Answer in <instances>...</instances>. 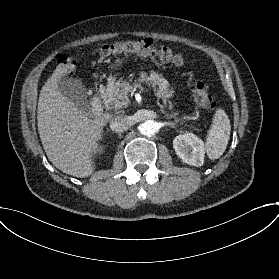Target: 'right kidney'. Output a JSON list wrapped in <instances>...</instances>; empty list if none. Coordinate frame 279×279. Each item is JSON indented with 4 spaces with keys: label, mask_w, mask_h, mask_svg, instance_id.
I'll use <instances>...</instances> for the list:
<instances>
[{
    "label": "right kidney",
    "mask_w": 279,
    "mask_h": 279,
    "mask_svg": "<svg viewBox=\"0 0 279 279\" xmlns=\"http://www.w3.org/2000/svg\"><path fill=\"white\" fill-rule=\"evenodd\" d=\"M102 150H103V147H102V146L97 145V146H96V148L94 149V154H96V153H101V152H102Z\"/></svg>",
    "instance_id": "1"
}]
</instances>
